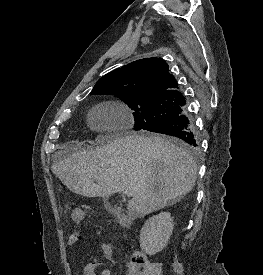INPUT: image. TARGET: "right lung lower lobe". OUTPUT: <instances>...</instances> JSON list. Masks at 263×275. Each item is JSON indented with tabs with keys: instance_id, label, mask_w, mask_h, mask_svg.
Here are the masks:
<instances>
[{
	"instance_id": "obj_1",
	"label": "right lung lower lobe",
	"mask_w": 263,
	"mask_h": 275,
	"mask_svg": "<svg viewBox=\"0 0 263 275\" xmlns=\"http://www.w3.org/2000/svg\"><path fill=\"white\" fill-rule=\"evenodd\" d=\"M151 132L165 134L182 139L191 147H197L198 141L193 122L186 113L180 114L165 124L151 129Z\"/></svg>"
}]
</instances>
